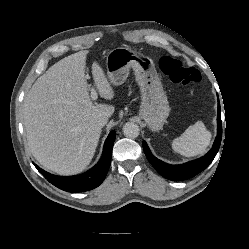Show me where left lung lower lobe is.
Returning <instances> with one entry per match:
<instances>
[{
  "label": "left lung lower lobe",
  "instance_id": "0a47b994",
  "mask_svg": "<svg viewBox=\"0 0 249 249\" xmlns=\"http://www.w3.org/2000/svg\"><path fill=\"white\" fill-rule=\"evenodd\" d=\"M217 126H218L217 137L214 141L211 150L203 157L181 165H170L157 159L155 156H153L145 141H143V149L150 163L163 177L173 181L186 180L206 169L213 161L219 150L222 138L221 109H220L219 99H218Z\"/></svg>",
  "mask_w": 249,
  "mask_h": 249
}]
</instances>
